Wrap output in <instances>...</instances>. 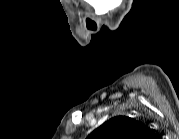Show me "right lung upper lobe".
Listing matches in <instances>:
<instances>
[{
	"label": "right lung upper lobe",
	"instance_id": "cb5924a9",
	"mask_svg": "<svg viewBox=\"0 0 179 139\" xmlns=\"http://www.w3.org/2000/svg\"><path fill=\"white\" fill-rule=\"evenodd\" d=\"M154 132L145 124L126 116H117L94 130L87 139H148Z\"/></svg>",
	"mask_w": 179,
	"mask_h": 139
}]
</instances>
